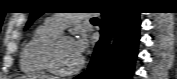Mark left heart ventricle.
<instances>
[{
	"mask_svg": "<svg viewBox=\"0 0 177 79\" xmlns=\"http://www.w3.org/2000/svg\"><path fill=\"white\" fill-rule=\"evenodd\" d=\"M56 63L62 70L75 68L81 57L77 54L73 40L62 41L55 52Z\"/></svg>",
	"mask_w": 177,
	"mask_h": 79,
	"instance_id": "b2bd125f",
	"label": "left heart ventricle"
}]
</instances>
